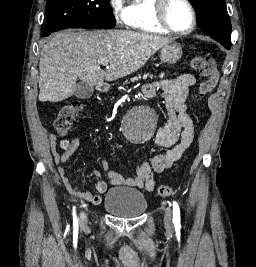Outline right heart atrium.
<instances>
[{"label": "right heart atrium", "mask_w": 256, "mask_h": 267, "mask_svg": "<svg viewBox=\"0 0 256 267\" xmlns=\"http://www.w3.org/2000/svg\"><path fill=\"white\" fill-rule=\"evenodd\" d=\"M131 21H132V16L129 11L115 14V22H121V27L128 28L132 26Z\"/></svg>", "instance_id": "right-heart-atrium-1"}]
</instances>
